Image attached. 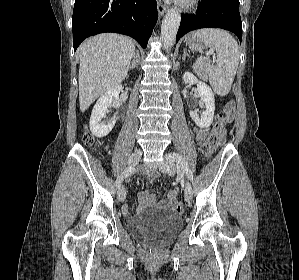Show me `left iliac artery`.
Returning a JSON list of instances; mask_svg holds the SVG:
<instances>
[{"mask_svg": "<svg viewBox=\"0 0 299 280\" xmlns=\"http://www.w3.org/2000/svg\"><path fill=\"white\" fill-rule=\"evenodd\" d=\"M168 158L180 164L188 179L190 181L193 180V173L181 155L177 153H170L168 154Z\"/></svg>", "mask_w": 299, "mask_h": 280, "instance_id": "left-iliac-artery-1", "label": "left iliac artery"}]
</instances>
